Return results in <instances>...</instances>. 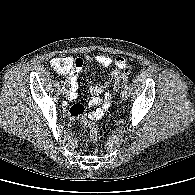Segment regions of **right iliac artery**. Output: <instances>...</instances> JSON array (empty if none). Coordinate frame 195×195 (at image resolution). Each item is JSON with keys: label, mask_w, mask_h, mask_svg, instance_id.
I'll list each match as a JSON object with an SVG mask.
<instances>
[{"label": "right iliac artery", "mask_w": 195, "mask_h": 195, "mask_svg": "<svg viewBox=\"0 0 195 195\" xmlns=\"http://www.w3.org/2000/svg\"><path fill=\"white\" fill-rule=\"evenodd\" d=\"M62 85L65 86V82H62ZM64 88V87H63Z\"/></svg>", "instance_id": "82829eb1"}]
</instances>
